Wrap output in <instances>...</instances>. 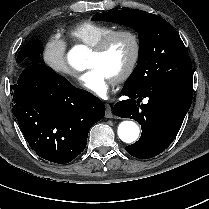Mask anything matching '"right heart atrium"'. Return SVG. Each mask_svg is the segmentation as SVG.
Wrapping results in <instances>:
<instances>
[{"label": "right heart atrium", "instance_id": "obj_1", "mask_svg": "<svg viewBox=\"0 0 209 209\" xmlns=\"http://www.w3.org/2000/svg\"><path fill=\"white\" fill-rule=\"evenodd\" d=\"M67 43L58 34L49 36L43 46V60L55 73L65 77H75V70L66 59Z\"/></svg>", "mask_w": 209, "mask_h": 209}]
</instances>
